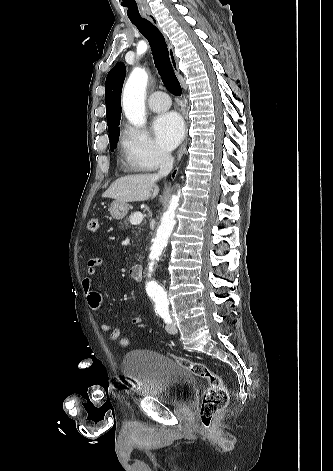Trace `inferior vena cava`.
<instances>
[{
	"mask_svg": "<svg viewBox=\"0 0 333 471\" xmlns=\"http://www.w3.org/2000/svg\"><path fill=\"white\" fill-rule=\"evenodd\" d=\"M174 159L169 152H162L160 157V169L156 177L161 178L167 176L173 168Z\"/></svg>",
	"mask_w": 333,
	"mask_h": 471,
	"instance_id": "1",
	"label": "inferior vena cava"
}]
</instances>
